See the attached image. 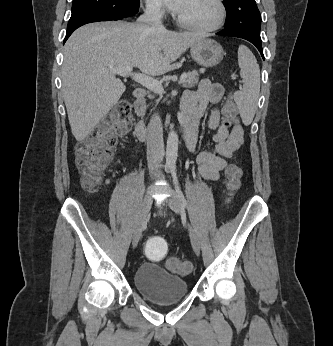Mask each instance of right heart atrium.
<instances>
[{"label": "right heart atrium", "instance_id": "d8ad5b80", "mask_svg": "<svg viewBox=\"0 0 333 346\" xmlns=\"http://www.w3.org/2000/svg\"><path fill=\"white\" fill-rule=\"evenodd\" d=\"M146 12L156 18L164 15L165 10L162 0H144Z\"/></svg>", "mask_w": 333, "mask_h": 346}]
</instances>
